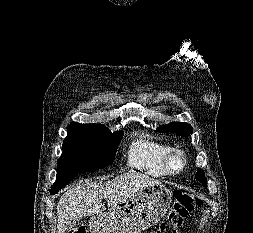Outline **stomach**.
Instances as JSON below:
<instances>
[{
	"mask_svg": "<svg viewBox=\"0 0 253 233\" xmlns=\"http://www.w3.org/2000/svg\"><path fill=\"white\" fill-rule=\"evenodd\" d=\"M172 203L162 184L146 187L90 222L91 233H139L161 220Z\"/></svg>",
	"mask_w": 253,
	"mask_h": 233,
	"instance_id": "1",
	"label": "stomach"
}]
</instances>
